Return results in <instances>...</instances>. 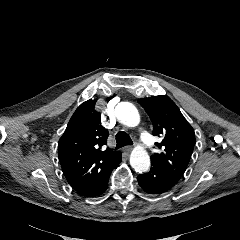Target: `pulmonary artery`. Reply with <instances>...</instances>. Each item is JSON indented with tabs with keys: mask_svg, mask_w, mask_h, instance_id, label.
Segmentation results:
<instances>
[{
	"mask_svg": "<svg viewBox=\"0 0 240 240\" xmlns=\"http://www.w3.org/2000/svg\"><path fill=\"white\" fill-rule=\"evenodd\" d=\"M140 137L142 142L146 145V146H151L152 145V139L151 136L149 135V133L145 130H141L140 132Z\"/></svg>",
	"mask_w": 240,
	"mask_h": 240,
	"instance_id": "1",
	"label": "pulmonary artery"
}]
</instances>
